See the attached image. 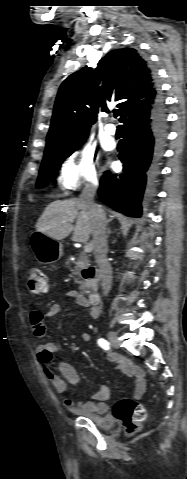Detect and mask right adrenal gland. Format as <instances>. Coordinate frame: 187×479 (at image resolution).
<instances>
[{"label": "right adrenal gland", "mask_w": 187, "mask_h": 479, "mask_svg": "<svg viewBox=\"0 0 187 479\" xmlns=\"http://www.w3.org/2000/svg\"><path fill=\"white\" fill-rule=\"evenodd\" d=\"M107 234H108V236L111 234L110 228L107 229Z\"/></svg>", "instance_id": "2a0ac1e0"}]
</instances>
